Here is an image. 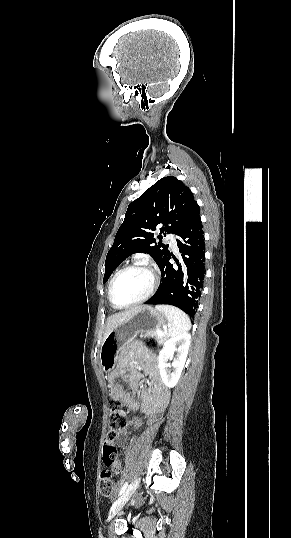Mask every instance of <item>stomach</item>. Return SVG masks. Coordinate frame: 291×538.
<instances>
[{"label": "stomach", "instance_id": "0dacf381", "mask_svg": "<svg viewBox=\"0 0 291 538\" xmlns=\"http://www.w3.org/2000/svg\"><path fill=\"white\" fill-rule=\"evenodd\" d=\"M165 323V314L151 306L142 307L132 314L103 341L100 349V364L103 371L107 374L112 365L118 364L119 351L130 344L138 334L161 330L165 327Z\"/></svg>", "mask_w": 291, "mask_h": 538}]
</instances>
